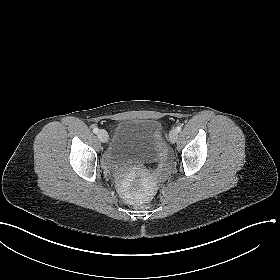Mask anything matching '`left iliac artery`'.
Returning a JSON list of instances; mask_svg holds the SVG:
<instances>
[{
	"label": "left iliac artery",
	"mask_w": 280,
	"mask_h": 280,
	"mask_svg": "<svg viewBox=\"0 0 280 280\" xmlns=\"http://www.w3.org/2000/svg\"><path fill=\"white\" fill-rule=\"evenodd\" d=\"M181 129H182L181 126H177V127H176L177 132H180Z\"/></svg>",
	"instance_id": "44dca946"
}]
</instances>
